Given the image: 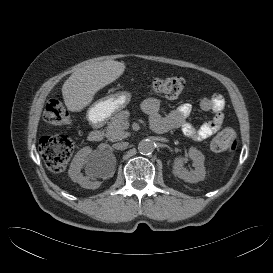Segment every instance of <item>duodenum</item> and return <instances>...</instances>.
<instances>
[{
  "instance_id": "410a0bca",
  "label": "duodenum",
  "mask_w": 273,
  "mask_h": 273,
  "mask_svg": "<svg viewBox=\"0 0 273 273\" xmlns=\"http://www.w3.org/2000/svg\"><path fill=\"white\" fill-rule=\"evenodd\" d=\"M152 129L158 133V134H162L165 133L168 130V126L166 124V122L161 119V118H157L155 120H152L150 122ZM103 131L99 126H96L89 134V140L91 142H100L103 139Z\"/></svg>"
}]
</instances>
